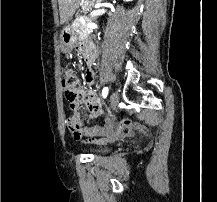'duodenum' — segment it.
<instances>
[{
  "mask_svg": "<svg viewBox=\"0 0 217 202\" xmlns=\"http://www.w3.org/2000/svg\"><path fill=\"white\" fill-rule=\"evenodd\" d=\"M88 43H84L82 47V53L88 64H91L94 60L92 52L88 48Z\"/></svg>",
  "mask_w": 217,
  "mask_h": 202,
  "instance_id": "1",
  "label": "duodenum"
}]
</instances>
